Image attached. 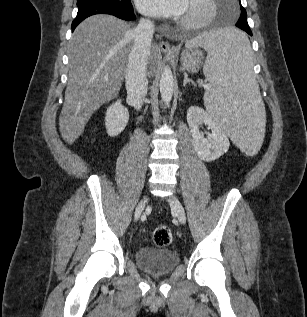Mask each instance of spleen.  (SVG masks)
<instances>
[{
	"instance_id": "3e777b00",
	"label": "spleen",
	"mask_w": 307,
	"mask_h": 317,
	"mask_svg": "<svg viewBox=\"0 0 307 317\" xmlns=\"http://www.w3.org/2000/svg\"><path fill=\"white\" fill-rule=\"evenodd\" d=\"M245 34V29H211L186 47L207 51L203 71L211 89L204 94V104L210 116L229 133L240 155H261V129H267V122Z\"/></svg>"
}]
</instances>
